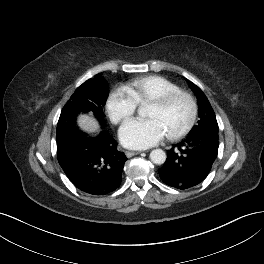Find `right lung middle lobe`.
Returning <instances> with one entry per match:
<instances>
[{
	"mask_svg": "<svg viewBox=\"0 0 264 264\" xmlns=\"http://www.w3.org/2000/svg\"><path fill=\"white\" fill-rule=\"evenodd\" d=\"M108 95L107 83L100 74L77 88L60 114L57 124V139L76 125L75 121L79 112H91L100 122H104L103 107Z\"/></svg>",
	"mask_w": 264,
	"mask_h": 264,
	"instance_id": "right-lung-middle-lobe-1",
	"label": "right lung middle lobe"
}]
</instances>
